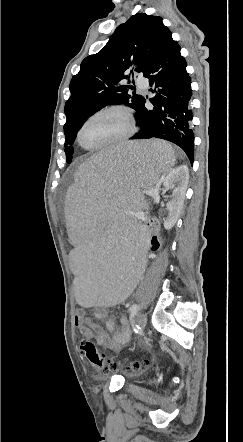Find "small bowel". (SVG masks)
<instances>
[{"label": "small bowel", "mask_w": 243, "mask_h": 442, "mask_svg": "<svg viewBox=\"0 0 243 442\" xmlns=\"http://www.w3.org/2000/svg\"><path fill=\"white\" fill-rule=\"evenodd\" d=\"M96 320H104L105 327L97 323ZM74 321L85 340L94 338L99 346L113 352L119 351L131 337V330L126 318L121 319V329H118L113 318H105L100 313L89 316L85 309H81L76 313Z\"/></svg>", "instance_id": "1"}]
</instances>
